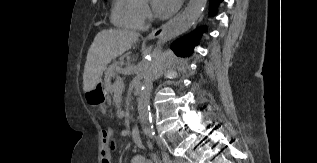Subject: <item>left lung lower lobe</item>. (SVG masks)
Segmentation results:
<instances>
[{"mask_svg":"<svg viewBox=\"0 0 317 163\" xmlns=\"http://www.w3.org/2000/svg\"><path fill=\"white\" fill-rule=\"evenodd\" d=\"M222 1L223 0H210V10L212 15L216 13V7ZM202 32H204V28H200L191 34L178 39L172 44L171 48L181 56L191 54L193 48L197 45V39L201 36Z\"/></svg>","mask_w":317,"mask_h":163,"instance_id":"left-lung-lower-lobe-1","label":"left lung lower lobe"}]
</instances>
